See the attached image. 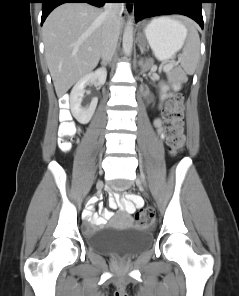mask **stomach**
Wrapping results in <instances>:
<instances>
[{"instance_id":"obj_1","label":"stomach","mask_w":239,"mask_h":296,"mask_svg":"<svg viewBox=\"0 0 239 296\" xmlns=\"http://www.w3.org/2000/svg\"><path fill=\"white\" fill-rule=\"evenodd\" d=\"M140 37H147V42L155 56L164 61L181 49L186 32L180 22L162 17L147 24Z\"/></svg>"}]
</instances>
